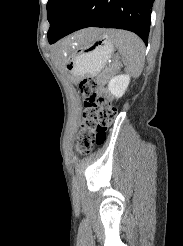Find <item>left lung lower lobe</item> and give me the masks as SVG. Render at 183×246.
I'll return each mask as SVG.
<instances>
[{"label": "left lung lower lobe", "mask_w": 183, "mask_h": 246, "mask_svg": "<svg viewBox=\"0 0 183 246\" xmlns=\"http://www.w3.org/2000/svg\"><path fill=\"white\" fill-rule=\"evenodd\" d=\"M154 0H81L53 44L87 27L117 28L136 33L147 45Z\"/></svg>", "instance_id": "obj_1"}]
</instances>
